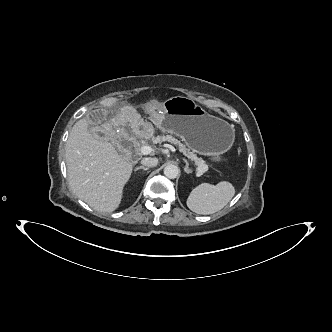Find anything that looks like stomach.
I'll return each instance as SVG.
<instances>
[{
  "instance_id": "stomach-1",
  "label": "stomach",
  "mask_w": 332,
  "mask_h": 332,
  "mask_svg": "<svg viewBox=\"0 0 332 332\" xmlns=\"http://www.w3.org/2000/svg\"><path fill=\"white\" fill-rule=\"evenodd\" d=\"M161 106L160 115L153 118L155 126L181 138L193 151L219 161L233 145L234 128L227 121L208 114L191 99L175 96Z\"/></svg>"
}]
</instances>
